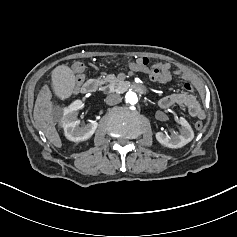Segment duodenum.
Returning a JSON list of instances; mask_svg holds the SVG:
<instances>
[{
  "instance_id": "duodenum-1",
  "label": "duodenum",
  "mask_w": 237,
  "mask_h": 237,
  "mask_svg": "<svg viewBox=\"0 0 237 237\" xmlns=\"http://www.w3.org/2000/svg\"><path fill=\"white\" fill-rule=\"evenodd\" d=\"M131 86L138 93H143L144 92L143 86L138 84V83H132ZM97 88H98L97 80L89 79L82 85L81 91L84 94H90V93H94L97 90Z\"/></svg>"
}]
</instances>
